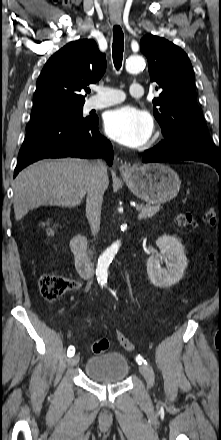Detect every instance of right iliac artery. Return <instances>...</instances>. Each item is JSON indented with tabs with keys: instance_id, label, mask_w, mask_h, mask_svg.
I'll list each match as a JSON object with an SVG mask.
<instances>
[{
	"instance_id": "1",
	"label": "right iliac artery",
	"mask_w": 221,
	"mask_h": 440,
	"mask_svg": "<svg viewBox=\"0 0 221 440\" xmlns=\"http://www.w3.org/2000/svg\"><path fill=\"white\" fill-rule=\"evenodd\" d=\"M74 353H75V349H74L72 346H70V347L68 348L67 356H68V357H71V356L74 355Z\"/></svg>"
}]
</instances>
